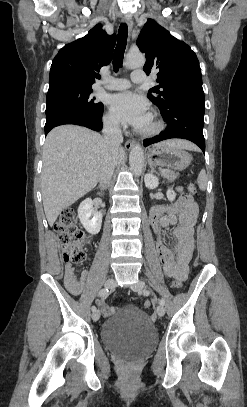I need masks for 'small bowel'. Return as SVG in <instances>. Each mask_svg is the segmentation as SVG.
Segmentation results:
<instances>
[{
    "mask_svg": "<svg viewBox=\"0 0 247 407\" xmlns=\"http://www.w3.org/2000/svg\"><path fill=\"white\" fill-rule=\"evenodd\" d=\"M198 212L196 202L183 193L173 204L155 206L150 212L151 225L157 234V251L167 277L184 281L188 276L189 263L194 251V226ZM170 226H175L173 235L176 242L172 249L163 240V231ZM88 274V270L84 269L80 274V281H77L72 264H65L64 283L66 288L74 295L81 293ZM98 304L104 307L102 301H99Z\"/></svg>",
    "mask_w": 247,
    "mask_h": 407,
    "instance_id": "obj_1",
    "label": "small bowel"
}]
</instances>
